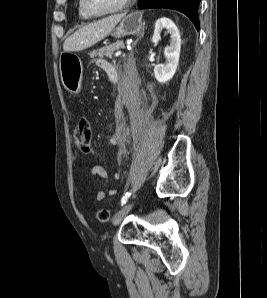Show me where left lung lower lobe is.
Returning <instances> with one entry per match:
<instances>
[{
  "mask_svg": "<svg viewBox=\"0 0 267 298\" xmlns=\"http://www.w3.org/2000/svg\"><path fill=\"white\" fill-rule=\"evenodd\" d=\"M200 0H138L140 9L166 8L178 10L190 18L199 30L198 6Z\"/></svg>",
  "mask_w": 267,
  "mask_h": 298,
  "instance_id": "1",
  "label": "left lung lower lobe"
}]
</instances>
